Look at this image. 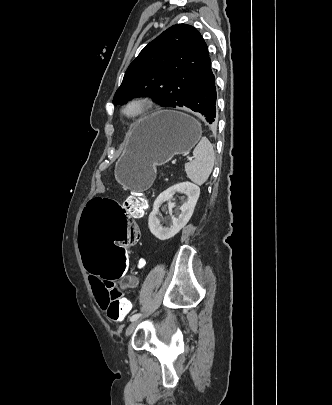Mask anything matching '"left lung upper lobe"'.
Wrapping results in <instances>:
<instances>
[{
	"mask_svg": "<svg viewBox=\"0 0 332 405\" xmlns=\"http://www.w3.org/2000/svg\"><path fill=\"white\" fill-rule=\"evenodd\" d=\"M209 60L207 45L196 28L174 25L150 42L130 64L113 104L152 96L163 107L186 106Z\"/></svg>",
	"mask_w": 332,
	"mask_h": 405,
	"instance_id": "left-lung-upper-lobe-1",
	"label": "left lung upper lobe"
}]
</instances>
